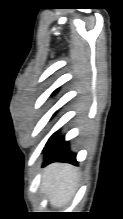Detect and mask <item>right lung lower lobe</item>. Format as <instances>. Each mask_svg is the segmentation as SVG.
<instances>
[{"instance_id":"1","label":"right lung lower lobe","mask_w":123,"mask_h":219,"mask_svg":"<svg viewBox=\"0 0 123 219\" xmlns=\"http://www.w3.org/2000/svg\"><path fill=\"white\" fill-rule=\"evenodd\" d=\"M46 147H48V151L44 158V165L54 161L77 164L76 154L69 151L68 143L64 141L63 137L57 138V132L48 140Z\"/></svg>"}]
</instances>
